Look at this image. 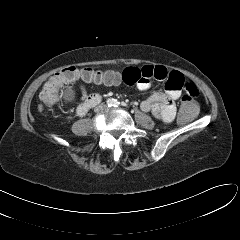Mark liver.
Listing matches in <instances>:
<instances>
[{"mask_svg":"<svg viewBox=\"0 0 240 240\" xmlns=\"http://www.w3.org/2000/svg\"><path fill=\"white\" fill-rule=\"evenodd\" d=\"M38 111H39V112H42V111H43V105H42V104H39V105H38Z\"/></svg>","mask_w":240,"mask_h":240,"instance_id":"6515ba94","label":"liver"}]
</instances>
